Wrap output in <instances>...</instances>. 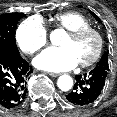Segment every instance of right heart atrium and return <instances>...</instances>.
<instances>
[{"label": "right heart atrium", "mask_w": 117, "mask_h": 117, "mask_svg": "<svg viewBox=\"0 0 117 117\" xmlns=\"http://www.w3.org/2000/svg\"><path fill=\"white\" fill-rule=\"evenodd\" d=\"M48 31L39 17H29L22 21L16 30V41L19 48L32 56L47 43Z\"/></svg>", "instance_id": "d8ad5b80"}]
</instances>
